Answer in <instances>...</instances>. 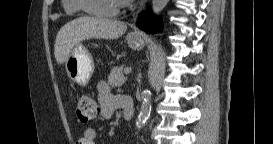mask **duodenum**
<instances>
[{
    "instance_id": "1",
    "label": "duodenum",
    "mask_w": 273,
    "mask_h": 144,
    "mask_svg": "<svg viewBox=\"0 0 273 144\" xmlns=\"http://www.w3.org/2000/svg\"><path fill=\"white\" fill-rule=\"evenodd\" d=\"M120 102L124 111V119L130 121L134 117V102L128 96H120Z\"/></svg>"
}]
</instances>
